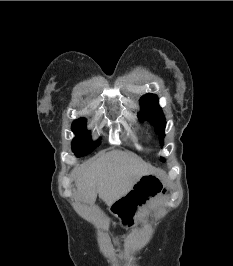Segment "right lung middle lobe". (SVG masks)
<instances>
[{
    "mask_svg": "<svg viewBox=\"0 0 233 266\" xmlns=\"http://www.w3.org/2000/svg\"><path fill=\"white\" fill-rule=\"evenodd\" d=\"M72 130L76 134L72 141V150L78 157L90 153L100 144V140L92 143L90 132L86 130L85 118L75 120L72 124Z\"/></svg>",
    "mask_w": 233,
    "mask_h": 266,
    "instance_id": "obj_1",
    "label": "right lung middle lobe"
}]
</instances>
